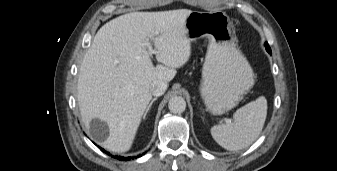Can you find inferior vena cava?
<instances>
[{"mask_svg":"<svg viewBox=\"0 0 337 171\" xmlns=\"http://www.w3.org/2000/svg\"><path fill=\"white\" fill-rule=\"evenodd\" d=\"M167 89V84L164 81L156 80L152 82L150 91L153 96H161Z\"/></svg>","mask_w":337,"mask_h":171,"instance_id":"obj_1","label":"inferior vena cava"}]
</instances>
